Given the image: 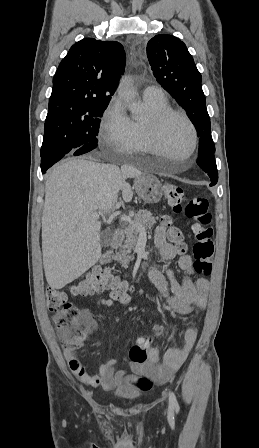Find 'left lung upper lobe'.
I'll return each mask as SVG.
<instances>
[{
	"label": "left lung upper lobe",
	"mask_w": 259,
	"mask_h": 448,
	"mask_svg": "<svg viewBox=\"0 0 259 448\" xmlns=\"http://www.w3.org/2000/svg\"><path fill=\"white\" fill-rule=\"evenodd\" d=\"M147 57L158 83L194 124L199 136V157L215 152L201 74L186 45L172 35H157L147 44Z\"/></svg>",
	"instance_id": "left-lung-upper-lobe-1"
}]
</instances>
